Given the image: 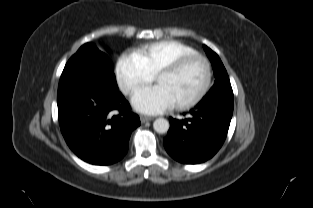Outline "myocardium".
Masks as SVG:
<instances>
[{
    "label": "myocardium",
    "instance_id": "myocardium-1",
    "mask_svg": "<svg viewBox=\"0 0 313 208\" xmlns=\"http://www.w3.org/2000/svg\"><path fill=\"white\" fill-rule=\"evenodd\" d=\"M195 60L201 61L204 65V68H205L204 83L200 91L193 98L189 99L188 101L175 104V108L178 110L190 109L194 107L195 105H197L206 96L211 86V82H212V67H211L210 61L204 55L199 54V53L187 54V55L178 57L171 63L161 67L155 74V81H156L162 75L175 74L179 72L186 65H188L189 63Z\"/></svg>",
    "mask_w": 313,
    "mask_h": 208
}]
</instances>
